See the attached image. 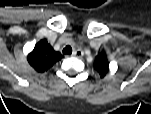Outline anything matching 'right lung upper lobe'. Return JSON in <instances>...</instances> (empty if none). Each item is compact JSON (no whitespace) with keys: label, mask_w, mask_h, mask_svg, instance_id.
Wrapping results in <instances>:
<instances>
[{"label":"right lung upper lobe","mask_w":151,"mask_h":114,"mask_svg":"<svg viewBox=\"0 0 151 114\" xmlns=\"http://www.w3.org/2000/svg\"><path fill=\"white\" fill-rule=\"evenodd\" d=\"M61 58H63V56L59 52L54 51L45 39L39 41L33 51L27 56L29 64L37 72L47 71Z\"/></svg>","instance_id":"right-lung-upper-lobe-1"}]
</instances>
